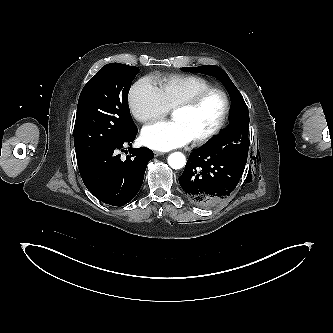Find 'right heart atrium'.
I'll return each instance as SVG.
<instances>
[{"mask_svg": "<svg viewBox=\"0 0 333 333\" xmlns=\"http://www.w3.org/2000/svg\"><path fill=\"white\" fill-rule=\"evenodd\" d=\"M128 104L132 116L141 123L160 119L169 111L157 86L149 78H142L132 86Z\"/></svg>", "mask_w": 333, "mask_h": 333, "instance_id": "1", "label": "right heart atrium"}]
</instances>
